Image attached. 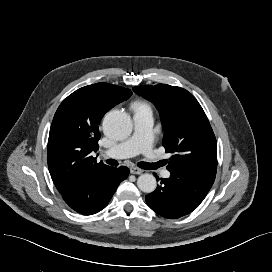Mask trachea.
Here are the masks:
<instances>
[{
	"mask_svg": "<svg viewBox=\"0 0 272 272\" xmlns=\"http://www.w3.org/2000/svg\"><path fill=\"white\" fill-rule=\"evenodd\" d=\"M106 163L111 166H118V162L114 159H108V160H106ZM138 166L142 169H145V170H152V169H156L157 167H159L160 163L140 162V163H138Z\"/></svg>",
	"mask_w": 272,
	"mask_h": 272,
	"instance_id": "obj_1",
	"label": "trachea"
}]
</instances>
